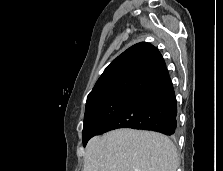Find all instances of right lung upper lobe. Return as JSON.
Instances as JSON below:
<instances>
[{
	"label": "right lung upper lobe",
	"mask_w": 223,
	"mask_h": 171,
	"mask_svg": "<svg viewBox=\"0 0 223 171\" xmlns=\"http://www.w3.org/2000/svg\"><path fill=\"white\" fill-rule=\"evenodd\" d=\"M168 75L160 52L153 45L135 44L104 70L89 93L87 103L119 93L138 95Z\"/></svg>",
	"instance_id": "cb5924a9"
}]
</instances>
